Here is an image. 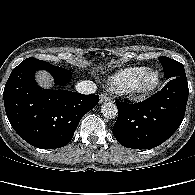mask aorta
I'll return each mask as SVG.
<instances>
[{
    "mask_svg": "<svg viewBox=\"0 0 195 195\" xmlns=\"http://www.w3.org/2000/svg\"><path fill=\"white\" fill-rule=\"evenodd\" d=\"M101 113L107 119H114L118 115V109L114 103L107 102L101 106Z\"/></svg>",
    "mask_w": 195,
    "mask_h": 195,
    "instance_id": "1",
    "label": "aorta"
}]
</instances>
